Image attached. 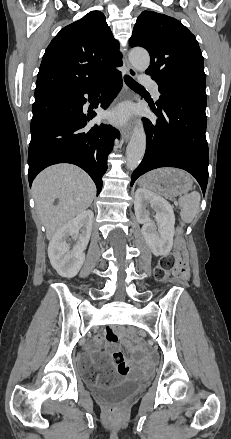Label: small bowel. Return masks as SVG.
I'll use <instances>...</instances> for the list:
<instances>
[{"instance_id":"obj_1","label":"small bowel","mask_w":231,"mask_h":439,"mask_svg":"<svg viewBox=\"0 0 231 439\" xmlns=\"http://www.w3.org/2000/svg\"><path fill=\"white\" fill-rule=\"evenodd\" d=\"M118 334L114 330H109L105 337H97L94 340V345L90 349L92 355H99L102 357L104 369L107 373H111L114 370L115 366H119L121 364H126L129 367V362L124 359V356L120 352V348L118 345ZM106 343L107 348L112 353L113 361H109L106 359V353L101 348L102 343ZM145 371L143 369H136L135 374H143Z\"/></svg>"}]
</instances>
